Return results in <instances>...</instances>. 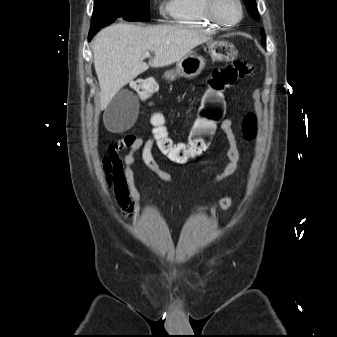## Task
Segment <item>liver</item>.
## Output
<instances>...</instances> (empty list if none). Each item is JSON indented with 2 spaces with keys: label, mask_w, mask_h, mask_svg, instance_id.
I'll return each instance as SVG.
<instances>
[{
  "label": "liver",
  "mask_w": 337,
  "mask_h": 337,
  "mask_svg": "<svg viewBox=\"0 0 337 337\" xmlns=\"http://www.w3.org/2000/svg\"><path fill=\"white\" fill-rule=\"evenodd\" d=\"M208 40L209 37L196 31L171 25L143 27L117 23L101 30L93 43L101 109H106L122 87L149 67L178 62ZM146 52L154 53L148 64L142 60Z\"/></svg>",
  "instance_id": "liver-1"
}]
</instances>
